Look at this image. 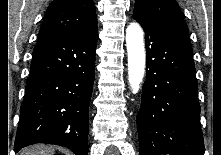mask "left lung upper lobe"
<instances>
[{
    "label": "left lung upper lobe",
    "mask_w": 221,
    "mask_h": 155,
    "mask_svg": "<svg viewBox=\"0 0 221 155\" xmlns=\"http://www.w3.org/2000/svg\"><path fill=\"white\" fill-rule=\"evenodd\" d=\"M134 11L187 36L188 27L176 0H136Z\"/></svg>",
    "instance_id": "5c2ea615"
}]
</instances>
